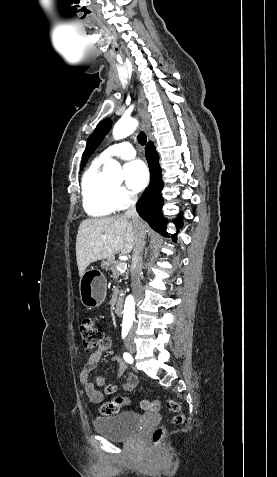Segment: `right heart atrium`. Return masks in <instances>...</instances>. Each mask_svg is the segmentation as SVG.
<instances>
[{"mask_svg": "<svg viewBox=\"0 0 277 477\" xmlns=\"http://www.w3.org/2000/svg\"><path fill=\"white\" fill-rule=\"evenodd\" d=\"M114 199L117 208H124L134 200V197L124 188L116 187L114 188Z\"/></svg>", "mask_w": 277, "mask_h": 477, "instance_id": "obj_1", "label": "right heart atrium"}]
</instances>
